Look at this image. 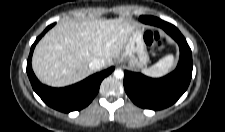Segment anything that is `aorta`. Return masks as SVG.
Listing matches in <instances>:
<instances>
[{
	"label": "aorta",
	"instance_id": "762f6f07",
	"mask_svg": "<svg viewBox=\"0 0 225 132\" xmlns=\"http://www.w3.org/2000/svg\"><path fill=\"white\" fill-rule=\"evenodd\" d=\"M114 76H115L116 78H118V79L123 78V77H124V72H123V70H121V69H116V70L114 71Z\"/></svg>",
	"mask_w": 225,
	"mask_h": 132
}]
</instances>
